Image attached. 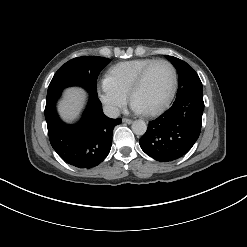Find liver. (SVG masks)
<instances>
[{"instance_id": "6515ba94", "label": "liver", "mask_w": 247, "mask_h": 247, "mask_svg": "<svg viewBox=\"0 0 247 247\" xmlns=\"http://www.w3.org/2000/svg\"><path fill=\"white\" fill-rule=\"evenodd\" d=\"M85 92L80 88L66 90L64 100L59 104L58 110L66 121H73L83 107Z\"/></svg>"}]
</instances>
